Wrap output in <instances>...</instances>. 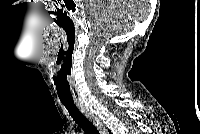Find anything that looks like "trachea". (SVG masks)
Wrapping results in <instances>:
<instances>
[{
  "instance_id": "1",
  "label": "trachea",
  "mask_w": 200,
  "mask_h": 134,
  "mask_svg": "<svg viewBox=\"0 0 200 134\" xmlns=\"http://www.w3.org/2000/svg\"><path fill=\"white\" fill-rule=\"evenodd\" d=\"M65 108L68 110L69 114L73 118V120L78 124L79 127L86 134H99L97 128L94 124L89 121L77 108L73 101H61Z\"/></svg>"
}]
</instances>
